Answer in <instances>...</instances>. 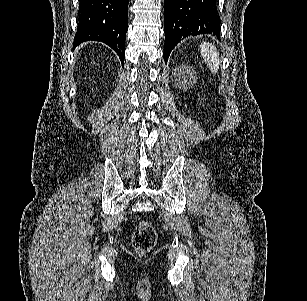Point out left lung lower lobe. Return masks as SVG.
<instances>
[{
    "label": "left lung lower lobe",
    "mask_w": 307,
    "mask_h": 301,
    "mask_svg": "<svg viewBox=\"0 0 307 301\" xmlns=\"http://www.w3.org/2000/svg\"><path fill=\"white\" fill-rule=\"evenodd\" d=\"M164 60L181 39L213 34L219 38L220 17L216 0H164Z\"/></svg>",
    "instance_id": "1"
}]
</instances>
